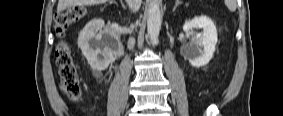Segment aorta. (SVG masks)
<instances>
[{
  "instance_id": "1",
  "label": "aorta",
  "mask_w": 283,
  "mask_h": 116,
  "mask_svg": "<svg viewBox=\"0 0 283 116\" xmlns=\"http://www.w3.org/2000/svg\"><path fill=\"white\" fill-rule=\"evenodd\" d=\"M162 14L159 0H150L147 12V32L154 45L158 44Z\"/></svg>"
}]
</instances>
